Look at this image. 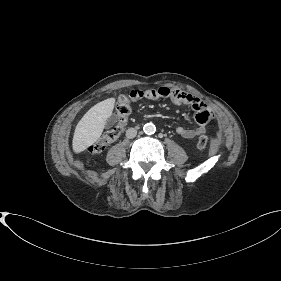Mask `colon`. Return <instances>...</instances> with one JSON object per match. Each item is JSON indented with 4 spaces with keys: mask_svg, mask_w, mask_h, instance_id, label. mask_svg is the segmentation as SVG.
<instances>
[{
    "mask_svg": "<svg viewBox=\"0 0 281 281\" xmlns=\"http://www.w3.org/2000/svg\"><path fill=\"white\" fill-rule=\"evenodd\" d=\"M116 112L118 118L117 125L107 131L97 142L89 147L90 153L94 155L100 154L108 145L114 143L119 138L131 112L130 100L127 96L119 97L116 104ZM208 145V137L205 135L199 136L197 140V147L199 149H204Z\"/></svg>",
    "mask_w": 281,
    "mask_h": 281,
    "instance_id": "1",
    "label": "colon"
}]
</instances>
